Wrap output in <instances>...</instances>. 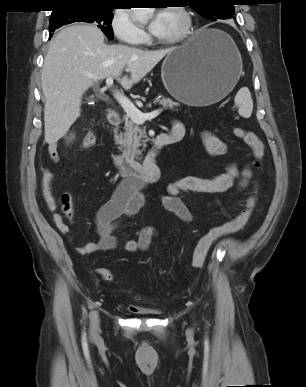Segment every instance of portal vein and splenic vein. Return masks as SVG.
<instances>
[{
  "label": "portal vein and splenic vein",
  "instance_id": "portal-vein-and-splenic-vein-1",
  "mask_svg": "<svg viewBox=\"0 0 306 387\" xmlns=\"http://www.w3.org/2000/svg\"><path fill=\"white\" fill-rule=\"evenodd\" d=\"M113 84V77L106 79V85L111 86ZM114 97L125 111L127 117L136 124H143L146 120L155 118L161 113V109L151 111L149 113L141 112L127 97L117 92H114Z\"/></svg>",
  "mask_w": 306,
  "mask_h": 387
}]
</instances>
